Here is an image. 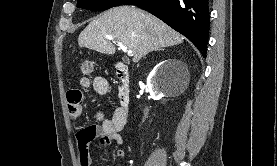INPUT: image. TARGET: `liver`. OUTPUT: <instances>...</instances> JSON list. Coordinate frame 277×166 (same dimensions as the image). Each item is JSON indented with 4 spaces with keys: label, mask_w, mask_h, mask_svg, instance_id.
Listing matches in <instances>:
<instances>
[{
    "label": "liver",
    "mask_w": 277,
    "mask_h": 166,
    "mask_svg": "<svg viewBox=\"0 0 277 166\" xmlns=\"http://www.w3.org/2000/svg\"><path fill=\"white\" fill-rule=\"evenodd\" d=\"M112 36L133 52V62L159 48L181 44L184 37L157 17L135 6H117L93 20L79 35L78 44L112 55L116 48L105 36Z\"/></svg>",
    "instance_id": "1"
}]
</instances>
